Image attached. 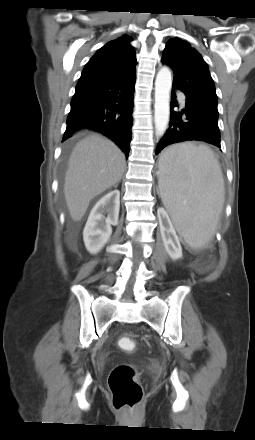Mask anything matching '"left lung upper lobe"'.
Listing matches in <instances>:
<instances>
[{"mask_svg":"<svg viewBox=\"0 0 255 440\" xmlns=\"http://www.w3.org/2000/svg\"><path fill=\"white\" fill-rule=\"evenodd\" d=\"M161 61L172 68L173 86L184 92L189 100L217 108L215 84L208 65L188 42L179 38L170 39Z\"/></svg>","mask_w":255,"mask_h":440,"instance_id":"1","label":"left lung upper lobe"}]
</instances>
